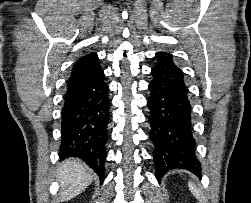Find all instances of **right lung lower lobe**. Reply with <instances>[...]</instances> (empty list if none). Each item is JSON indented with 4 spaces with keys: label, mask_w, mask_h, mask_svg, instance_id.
<instances>
[{
    "label": "right lung lower lobe",
    "mask_w": 251,
    "mask_h": 203,
    "mask_svg": "<svg viewBox=\"0 0 251 203\" xmlns=\"http://www.w3.org/2000/svg\"><path fill=\"white\" fill-rule=\"evenodd\" d=\"M109 87L97 66L68 83L61 111L60 158L78 157L104 180Z\"/></svg>",
    "instance_id": "right-lung-lower-lobe-1"
}]
</instances>
